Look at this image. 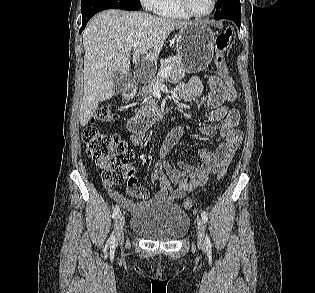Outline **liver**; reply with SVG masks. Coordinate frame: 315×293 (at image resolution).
<instances>
[{
	"instance_id": "6515ba94",
	"label": "liver",
	"mask_w": 315,
	"mask_h": 293,
	"mask_svg": "<svg viewBox=\"0 0 315 293\" xmlns=\"http://www.w3.org/2000/svg\"><path fill=\"white\" fill-rule=\"evenodd\" d=\"M190 23L116 9L103 11L92 18L83 33L84 92L80 102V124L86 126L99 102L115 94L117 80L114 73H129L133 49V61L142 55L148 61H154L168 35ZM137 42L139 45L135 47Z\"/></svg>"
}]
</instances>
